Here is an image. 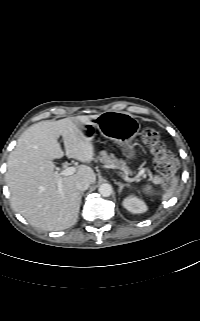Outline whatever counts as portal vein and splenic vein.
<instances>
[{"label":"portal vein and splenic vein","instance_id":"1","mask_svg":"<svg viewBox=\"0 0 200 321\" xmlns=\"http://www.w3.org/2000/svg\"><path fill=\"white\" fill-rule=\"evenodd\" d=\"M75 172H76V167L71 166V167H66V168L62 169L58 174L60 175V177H63V176H70V175L74 174ZM141 173H143V171H141ZM138 177H139V175H137L135 178H129L127 176H123L124 180L127 182L136 181V180H138ZM58 185H59V187L62 186L61 179L59 180Z\"/></svg>","mask_w":200,"mask_h":321}]
</instances>
